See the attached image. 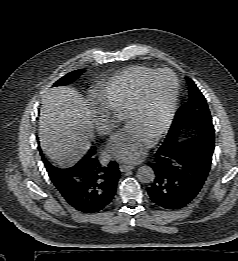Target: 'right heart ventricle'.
<instances>
[{"mask_svg":"<svg viewBox=\"0 0 238 261\" xmlns=\"http://www.w3.org/2000/svg\"><path fill=\"white\" fill-rule=\"evenodd\" d=\"M153 71L146 66H132L107 82L96 94L98 103L106 111L121 117L130 107L138 85Z\"/></svg>","mask_w":238,"mask_h":261,"instance_id":"1","label":"right heart ventricle"}]
</instances>
